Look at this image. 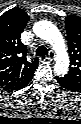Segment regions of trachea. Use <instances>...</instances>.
Here are the masks:
<instances>
[{
	"label": "trachea",
	"instance_id": "trachea-1",
	"mask_svg": "<svg viewBox=\"0 0 81 124\" xmlns=\"http://www.w3.org/2000/svg\"><path fill=\"white\" fill-rule=\"evenodd\" d=\"M48 55V49L41 45L36 49V56H46Z\"/></svg>",
	"mask_w": 81,
	"mask_h": 124
}]
</instances>
